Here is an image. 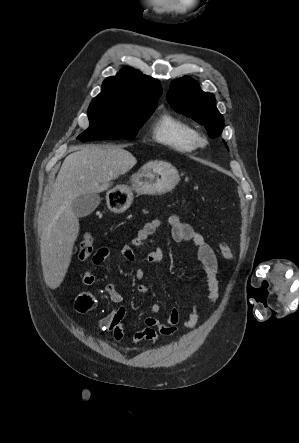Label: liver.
<instances>
[{"instance_id": "1", "label": "liver", "mask_w": 299, "mask_h": 443, "mask_svg": "<svg viewBox=\"0 0 299 443\" xmlns=\"http://www.w3.org/2000/svg\"><path fill=\"white\" fill-rule=\"evenodd\" d=\"M136 162L120 146H85L65 158L43 212L41 264L48 287L54 290L61 285L71 262L79 233L73 200L107 190L113 179L128 172Z\"/></svg>"}]
</instances>
